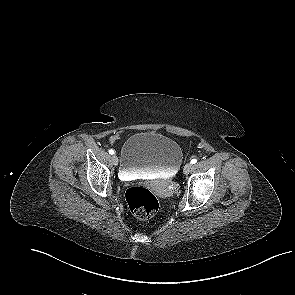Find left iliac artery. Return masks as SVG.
<instances>
[{
	"label": "left iliac artery",
	"instance_id": "1",
	"mask_svg": "<svg viewBox=\"0 0 295 295\" xmlns=\"http://www.w3.org/2000/svg\"><path fill=\"white\" fill-rule=\"evenodd\" d=\"M197 162V159H192L191 164H195Z\"/></svg>",
	"mask_w": 295,
	"mask_h": 295
}]
</instances>
